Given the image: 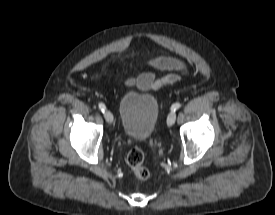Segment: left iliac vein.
Returning a JSON list of instances; mask_svg holds the SVG:
<instances>
[{"instance_id":"left-iliac-vein-1","label":"left iliac vein","mask_w":275,"mask_h":215,"mask_svg":"<svg viewBox=\"0 0 275 215\" xmlns=\"http://www.w3.org/2000/svg\"><path fill=\"white\" fill-rule=\"evenodd\" d=\"M176 121V113L175 111H172L169 113L168 117H167V125L169 127H171Z\"/></svg>"}]
</instances>
